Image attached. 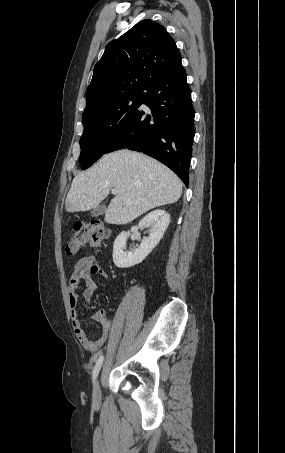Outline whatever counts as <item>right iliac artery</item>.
I'll list each match as a JSON object with an SVG mask.
<instances>
[{"mask_svg": "<svg viewBox=\"0 0 285 453\" xmlns=\"http://www.w3.org/2000/svg\"><path fill=\"white\" fill-rule=\"evenodd\" d=\"M102 363H103V356H100L99 359L97 360L95 366H94V369H93V376H92L93 382L95 381V379H96V377L98 375V372H99V370L101 368Z\"/></svg>", "mask_w": 285, "mask_h": 453, "instance_id": "right-iliac-artery-1", "label": "right iliac artery"}]
</instances>
